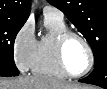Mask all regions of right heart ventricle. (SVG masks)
I'll list each match as a JSON object with an SVG mask.
<instances>
[{"mask_svg":"<svg viewBox=\"0 0 107 89\" xmlns=\"http://www.w3.org/2000/svg\"><path fill=\"white\" fill-rule=\"evenodd\" d=\"M48 31L37 41L31 70L36 75L63 79L67 76L61 70L55 53V40L58 34L67 30L64 20L45 17Z\"/></svg>","mask_w":107,"mask_h":89,"instance_id":"1","label":"right heart ventricle"}]
</instances>
